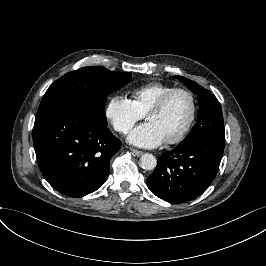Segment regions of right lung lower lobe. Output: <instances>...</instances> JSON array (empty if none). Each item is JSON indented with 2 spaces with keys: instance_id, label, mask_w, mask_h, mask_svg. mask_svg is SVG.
I'll list each match as a JSON object with an SVG mask.
<instances>
[{
  "instance_id": "1",
  "label": "right lung lower lobe",
  "mask_w": 266,
  "mask_h": 266,
  "mask_svg": "<svg viewBox=\"0 0 266 266\" xmlns=\"http://www.w3.org/2000/svg\"><path fill=\"white\" fill-rule=\"evenodd\" d=\"M33 143L44 178L58 192L82 197L106 181L121 141L78 107L59 105L35 118Z\"/></svg>"
}]
</instances>
